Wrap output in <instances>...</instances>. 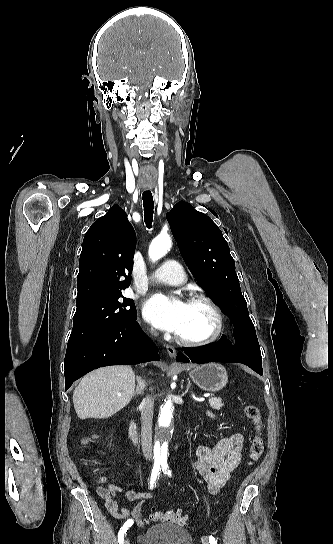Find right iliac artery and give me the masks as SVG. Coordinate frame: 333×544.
<instances>
[{
	"label": "right iliac artery",
	"instance_id": "obj_1",
	"mask_svg": "<svg viewBox=\"0 0 333 544\" xmlns=\"http://www.w3.org/2000/svg\"><path fill=\"white\" fill-rule=\"evenodd\" d=\"M160 470H161L160 463L159 464H154L153 469H152V473H151V477H150V489H153L154 486H156V479H157V476H159V474H160ZM132 525H133V521L132 520H127L124 523V525L121 527V529L118 532V542H119V544L124 543V534L126 533L128 528L131 527Z\"/></svg>",
	"mask_w": 333,
	"mask_h": 544
}]
</instances>
